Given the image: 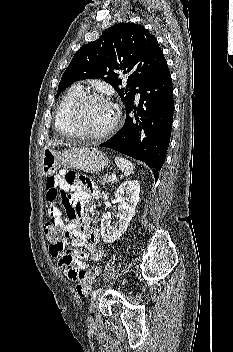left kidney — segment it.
<instances>
[{
    "instance_id": "5707ae66",
    "label": "left kidney",
    "mask_w": 233,
    "mask_h": 352,
    "mask_svg": "<svg viewBox=\"0 0 233 352\" xmlns=\"http://www.w3.org/2000/svg\"><path fill=\"white\" fill-rule=\"evenodd\" d=\"M139 193L140 184L137 180L125 181L118 187L115 199L120 205L116 223L111 224V216L107 213H104L101 219V235L104 242L116 241L127 230L139 202Z\"/></svg>"
}]
</instances>
